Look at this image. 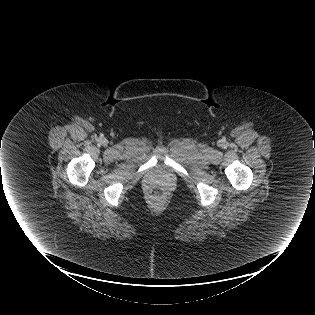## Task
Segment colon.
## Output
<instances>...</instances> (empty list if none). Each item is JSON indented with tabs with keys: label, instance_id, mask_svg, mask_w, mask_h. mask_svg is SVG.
I'll return each mask as SVG.
<instances>
[{
	"label": "colon",
	"instance_id": "colon-1",
	"mask_svg": "<svg viewBox=\"0 0 315 315\" xmlns=\"http://www.w3.org/2000/svg\"><path fill=\"white\" fill-rule=\"evenodd\" d=\"M150 196L154 201L160 202L166 198V191L160 186H155L151 189Z\"/></svg>",
	"mask_w": 315,
	"mask_h": 315
}]
</instances>
